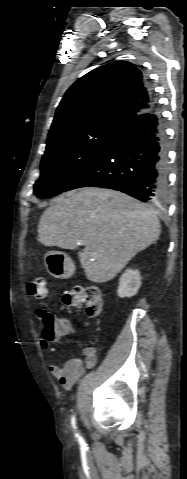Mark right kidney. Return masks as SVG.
<instances>
[{
	"mask_svg": "<svg viewBox=\"0 0 187 479\" xmlns=\"http://www.w3.org/2000/svg\"><path fill=\"white\" fill-rule=\"evenodd\" d=\"M141 286V275L138 270L127 269L119 280L117 294L120 298L134 296Z\"/></svg>",
	"mask_w": 187,
	"mask_h": 479,
	"instance_id": "obj_1",
	"label": "right kidney"
}]
</instances>
